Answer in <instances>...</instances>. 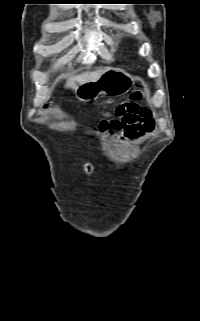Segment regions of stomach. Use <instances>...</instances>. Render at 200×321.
Masks as SVG:
<instances>
[{
    "mask_svg": "<svg viewBox=\"0 0 200 321\" xmlns=\"http://www.w3.org/2000/svg\"><path fill=\"white\" fill-rule=\"evenodd\" d=\"M134 80L131 75L118 68L106 70L96 81H89L75 89V95L80 101H89L100 93L115 96L127 93Z\"/></svg>",
    "mask_w": 200,
    "mask_h": 321,
    "instance_id": "stomach-1",
    "label": "stomach"
}]
</instances>
